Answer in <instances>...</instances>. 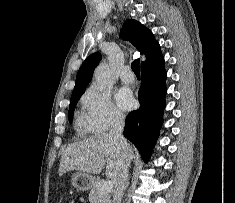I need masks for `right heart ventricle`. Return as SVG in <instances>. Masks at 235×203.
Instances as JSON below:
<instances>
[{"mask_svg":"<svg viewBox=\"0 0 235 203\" xmlns=\"http://www.w3.org/2000/svg\"><path fill=\"white\" fill-rule=\"evenodd\" d=\"M79 125H80V126H84L83 120H79Z\"/></svg>","mask_w":235,"mask_h":203,"instance_id":"1","label":"right heart ventricle"}]
</instances>
